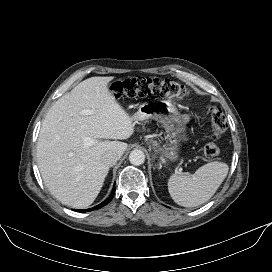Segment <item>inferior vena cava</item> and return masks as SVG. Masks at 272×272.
Returning a JSON list of instances; mask_svg holds the SVG:
<instances>
[{"mask_svg": "<svg viewBox=\"0 0 272 272\" xmlns=\"http://www.w3.org/2000/svg\"><path fill=\"white\" fill-rule=\"evenodd\" d=\"M119 158H120V155L117 152L108 151L103 154L102 161L107 166L111 167L116 164V162L119 160Z\"/></svg>", "mask_w": 272, "mask_h": 272, "instance_id": "1", "label": "inferior vena cava"}]
</instances>
